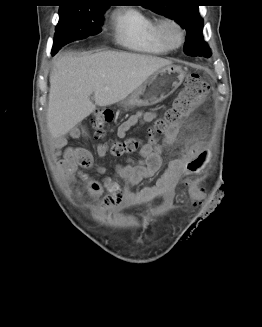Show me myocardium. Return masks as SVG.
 <instances>
[{"mask_svg": "<svg viewBox=\"0 0 262 327\" xmlns=\"http://www.w3.org/2000/svg\"><path fill=\"white\" fill-rule=\"evenodd\" d=\"M157 29L162 41L170 48H178L184 43L185 29L177 20L163 18L158 21ZM171 30L176 32L175 39L170 34Z\"/></svg>", "mask_w": 262, "mask_h": 327, "instance_id": "1", "label": "myocardium"}]
</instances>
